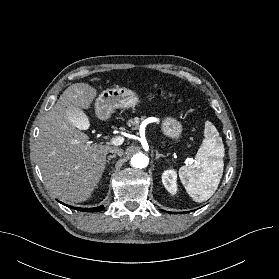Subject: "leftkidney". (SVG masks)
Returning <instances> with one entry per match:
<instances>
[{
  "mask_svg": "<svg viewBox=\"0 0 279 279\" xmlns=\"http://www.w3.org/2000/svg\"><path fill=\"white\" fill-rule=\"evenodd\" d=\"M162 183L164 187L168 190V192H170L173 195L176 194L178 190L176 171L173 169L164 171L162 174Z\"/></svg>",
  "mask_w": 279,
  "mask_h": 279,
  "instance_id": "5707ae66",
  "label": "left kidney"
}]
</instances>
